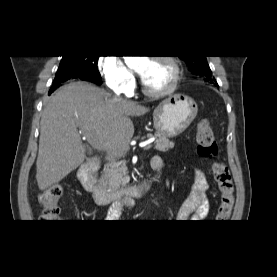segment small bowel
Instances as JSON below:
<instances>
[{
	"instance_id": "c3829d8e",
	"label": "small bowel",
	"mask_w": 277,
	"mask_h": 277,
	"mask_svg": "<svg viewBox=\"0 0 277 277\" xmlns=\"http://www.w3.org/2000/svg\"><path fill=\"white\" fill-rule=\"evenodd\" d=\"M151 167L155 171L162 170V159L160 157H154L151 160ZM208 188L209 184L205 174L197 169L195 171V178L191 192L177 214L179 220H201L207 216L209 211V202L206 195ZM121 211V205L113 207L110 211L109 218H117L121 214Z\"/></svg>"
}]
</instances>
